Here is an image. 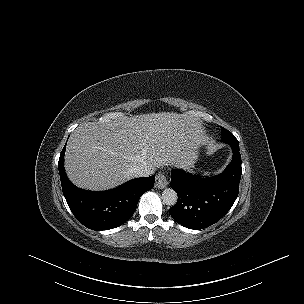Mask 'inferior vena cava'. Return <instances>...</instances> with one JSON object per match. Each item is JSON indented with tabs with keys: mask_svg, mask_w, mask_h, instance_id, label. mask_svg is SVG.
Returning <instances> with one entry per match:
<instances>
[{
	"mask_svg": "<svg viewBox=\"0 0 304 304\" xmlns=\"http://www.w3.org/2000/svg\"><path fill=\"white\" fill-rule=\"evenodd\" d=\"M155 169L148 165H140L132 170L134 177H148L154 173Z\"/></svg>",
	"mask_w": 304,
	"mask_h": 304,
	"instance_id": "inferior-vena-cava-1",
	"label": "inferior vena cava"
}]
</instances>
